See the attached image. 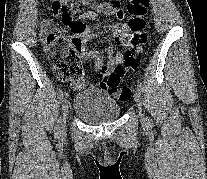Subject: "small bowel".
I'll use <instances>...</instances> for the list:
<instances>
[{"instance_id":"small-bowel-1","label":"small bowel","mask_w":207,"mask_h":179,"mask_svg":"<svg viewBox=\"0 0 207 179\" xmlns=\"http://www.w3.org/2000/svg\"><path fill=\"white\" fill-rule=\"evenodd\" d=\"M98 12H103L107 15H113L117 18L123 17V10L121 8L120 0H112V2L107 6H100L97 11H88L81 14L77 19L73 20V23L70 24L72 29L76 32V38L74 39L77 42V47L80 50L83 58L86 61L94 60L95 70H99L103 66V55L97 51H87L86 45L91 41L94 35L90 32L89 29L85 28L82 20L84 19H96ZM57 17H61L60 14L54 13ZM115 40L125 47H128L127 42L129 28L125 24H116L113 28ZM108 68L109 71H112L117 65L122 63L123 53L118 52L113 55V49L109 48L108 50ZM82 84H77L75 87L80 88Z\"/></svg>"}]
</instances>
